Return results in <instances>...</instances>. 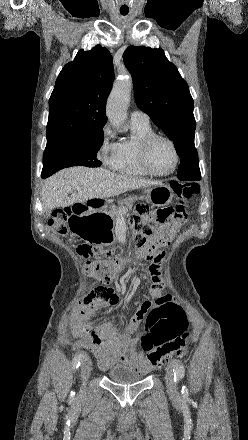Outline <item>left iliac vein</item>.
Here are the masks:
<instances>
[{
	"label": "left iliac vein",
	"instance_id": "left-iliac-vein-1",
	"mask_svg": "<svg viewBox=\"0 0 248 440\" xmlns=\"http://www.w3.org/2000/svg\"><path fill=\"white\" fill-rule=\"evenodd\" d=\"M165 380L169 394L176 395L177 385L174 381L173 373L170 368H166Z\"/></svg>",
	"mask_w": 248,
	"mask_h": 440
}]
</instances>
